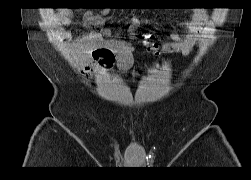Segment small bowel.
Listing matches in <instances>:
<instances>
[{
  "mask_svg": "<svg viewBox=\"0 0 251 180\" xmlns=\"http://www.w3.org/2000/svg\"><path fill=\"white\" fill-rule=\"evenodd\" d=\"M105 11L98 15L87 13L85 23L87 25L101 26ZM73 14L69 9H62L55 15V23L60 26L71 24ZM186 33L181 35L172 33L162 41V49L166 53H180L184 56L197 47L208 25V14L203 9H194L190 12L188 21L182 24ZM63 39L71 42V48L76 53L90 52L97 64L103 69H109L116 62L122 70H126L132 62L133 47L123 40L111 38L109 29L91 31L86 35L73 40L69 31L60 32ZM91 75L93 68L87 69Z\"/></svg>",
  "mask_w": 251,
  "mask_h": 180,
  "instance_id": "1",
  "label": "small bowel"
}]
</instances>
